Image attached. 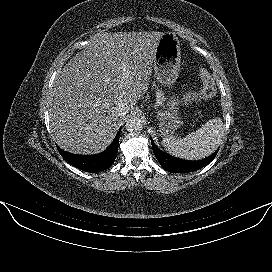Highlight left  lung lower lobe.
<instances>
[{
    "label": "left lung lower lobe",
    "mask_w": 272,
    "mask_h": 272,
    "mask_svg": "<svg viewBox=\"0 0 272 272\" xmlns=\"http://www.w3.org/2000/svg\"><path fill=\"white\" fill-rule=\"evenodd\" d=\"M151 144L155 157L159 161L160 165L168 172L171 173H188L199 170L209 164L216 156L217 152L213 153L211 156L199 160V161H187L175 158L173 156L167 155L161 152L154 144L151 139Z\"/></svg>",
    "instance_id": "obj_1"
}]
</instances>
